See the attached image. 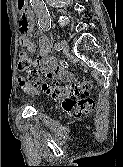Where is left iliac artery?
Segmentation results:
<instances>
[{
	"label": "left iliac artery",
	"instance_id": "obj_1",
	"mask_svg": "<svg viewBox=\"0 0 123 167\" xmlns=\"http://www.w3.org/2000/svg\"><path fill=\"white\" fill-rule=\"evenodd\" d=\"M54 48H55L56 50L60 51V50H61L60 43H59V42L55 43Z\"/></svg>",
	"mask_w": 123,
	"mask_h": 167
}]
</instances>
